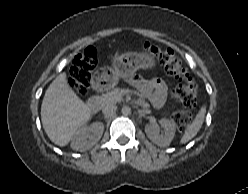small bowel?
I'll return each instance as SVG.
<instances>
[{"mask_svg": "<svg viewBox=\"0 0 248 194\" xmlns=\"http://www.w3.org/2000/svg\"><path fill=\"white\" fill-rule=\"evenodd\" d=\"M133 85L139 90L143 98L151 102L155 107H162L168 96V86L160 78L144 79L135 77Z\"/></svg>", "mask_w": 248, "mask_h": 194, "instance_id": "c3829d8e", "label": "small bowel"}]
</instances>
